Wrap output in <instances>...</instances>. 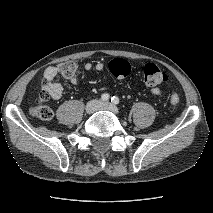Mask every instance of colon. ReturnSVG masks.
Listing matches in <instances>:
<instances>
[{
    "instance_id": "colon-1",
    "label": "colon",
    "mask_w": 213,
    "mask_h": 213,
    "mask_svg": "<svg viewBox=\"0 0 213 213\" xmlns=\"http://www.w3.org/2000/svg\"><path fill=\"white\" fill-rule=\"evenodd\" d=\"M111 73L118 78L127 77L130 74L131 66L123 59H114L109 64ZM61 75L67 79L74 78L78 73V65L75 61L69 60L59 66ZM143 82L150 87H155L167 81L166 73L153 63H146L141 67ZM49 93L43 89L38 103L32 108L31 113L40 120H50L53 117V110L47 104ZM180 101L177 93H172L169 98L170 105L175 108Z\"/></svg>"
}]
</instances>
